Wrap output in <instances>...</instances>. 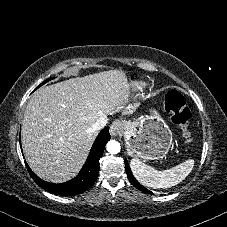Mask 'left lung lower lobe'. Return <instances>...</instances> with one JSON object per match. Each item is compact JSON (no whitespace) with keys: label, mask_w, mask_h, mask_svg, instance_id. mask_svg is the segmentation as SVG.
Returning a JSON list of instances; mask_svg holds the SVG:
<instances>
[{"label":"left lung lower lobe","mask_w":227,"mask_h":227,"mask_svg":"<svg viewBox=\"0 0 227 227\" xmlns=\"http://www.w3.org/2000/svg\"><path fill=\"white\" fill-rule=\"evenodd\" d=\"M125 170H126V173H127V176H128V179L130 180V182L136 187L138 188L139 190L147 193V194H152L151 191H148L144 186L140 185V183L134 178L132 172H131V169L129 167V164L127 162V160L125 159Z\"/></svg>","instance_id":"left-lung-lower-lobe-1"}]
</instances>
